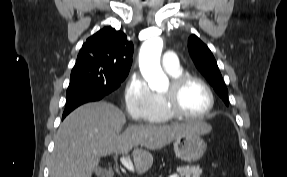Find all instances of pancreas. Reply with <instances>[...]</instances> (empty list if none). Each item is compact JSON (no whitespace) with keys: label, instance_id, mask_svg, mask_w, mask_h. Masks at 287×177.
<instances>
[{"label":"pancreas","instance_id":"cf45deb5","mask_svg":"<svg viewBox=\"0 0 287 177\" xmlns=\"http://www.w3.org/2000/svg\"><path fill=\"white\" fill-rule=\"evenodd\" d=\"M177 172L179 173L180 177H200L202 174V169L198 166H181L177 168Z\"/></svg>","mask_w":287,"mask_h":177}]
</instances>
